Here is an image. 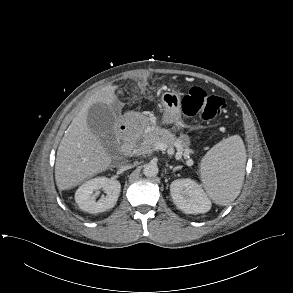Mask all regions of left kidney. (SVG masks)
I'll use <instances>...</instances> for the list:
<instances>
[{"instance_id": "obj_1", "label": "left kidney", "mask_w": 293, "mask_h": 293, "mask_svg": "<svg viewBox=\"0 0 293 293\" xmlns=\"http://www.w3.org/2000/svg\"><path fill=\"white\" fill-rule=\"evenodd\" d=\"M174 204L187 214L206 213L211 209V201L201 185L192 179H177L170 185Z\"/></svg>"}]
</instances>
